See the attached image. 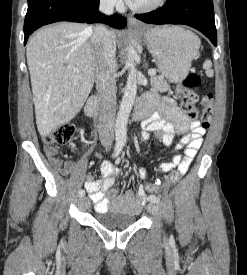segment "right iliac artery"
Here are the masks:
<instances>
[{"mask_svg":"<svg viewBox=\"0 0 247 275\" xmlns=\"http://www.w3.org/2000/svg\"><path fill=\"white\" fill-rule=\"evenodd\" d=\"M122 148H123V142H117L116 143V146H115V150H114V154H113V157H116L117 155L120 154V152L122 151ZM85 195V191L83 189L79 190L78 192V196L79 197H83Z\"/></svg>","mask_w":247,"mask_h":275,"instance_id":"obj_1","label":"right iliac artery"}]
</instances>
